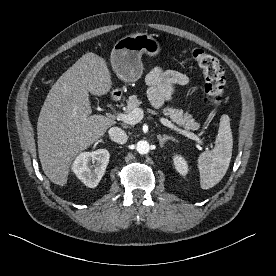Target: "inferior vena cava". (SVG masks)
Returning a JSON list of instances; mask_svg holds the SVG:
<instances>
[{"mask_svg":"<svg viewBox=\"0 0 276 276\" xmlns=\"http://www.w3.org/2000/svg\"><path fill=\"white\" fill-rule=\"evenodd\" d=\"M108 133L111 140L116 143L125 144L128 140L126 132L119 127L110 128Z\"/></svg>","mask_w":276,"mask_h":276,"instance_id":"1","label":"inferior vena cava"}]
</instances>
